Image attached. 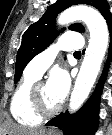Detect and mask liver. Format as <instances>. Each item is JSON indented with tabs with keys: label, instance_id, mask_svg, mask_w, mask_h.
Segmentation results:
<instances>
[{
	"label": "liver",
	"instance_id": "liver-1",
	"mask_svg": "<svg viewBox=\"0 0 112 135\" xmlns=\"http://www.w3.org/2000/svg\"><path fill=\"white\" fill-rule=\"evenodd\" d=\"M8 133L10 135H45V129H24L13 123L5 124L4 130L0 134Z\"/></svg>",
	"mask_w": 112,
	"mask_h": 135
}]
</instances>
